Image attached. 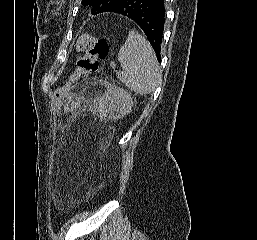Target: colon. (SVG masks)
I'll return each instance as SVG.
<instances>
[{
	"instance_id": "obj_1",
	"label": "colon",
	"mask_w": 257,
	"mask_h": 240,
	"mask_svg": "<svg viewBox=\"0 0 257 240\" xmlns=\"http://www.w3.org/2000/svg\"><path fill=\"white\" fill-rule=\"evenodd\" d=\"M75 51L80 54L76 59V69L70 81L63 87L58 88L54 94V110L61 112L63 100L70 91L72 84L81 77L96 72L100 61L109 56V44L105 38L85 33L79 37L75 44Z\"/></svg>"
}]
</instances>
